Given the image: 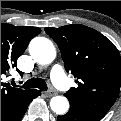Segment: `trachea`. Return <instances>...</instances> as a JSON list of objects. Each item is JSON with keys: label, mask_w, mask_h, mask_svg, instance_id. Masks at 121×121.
<instances>
[{"label": "trachea", "mask_w": 121, "mask_h": 121, "mask_svg": "<svg viewBox=\"0 0 121 121\" xmlns=\"http://www.w3.org/2000/svg\"><path fill=\"white\" fill-rule=\"evenodd\" d=\"M23 88H39L40 90H47V84L42 78H31L24 83Z\"/></svg>", "instance_id": "obj_1"}]
</instances>
